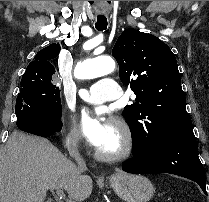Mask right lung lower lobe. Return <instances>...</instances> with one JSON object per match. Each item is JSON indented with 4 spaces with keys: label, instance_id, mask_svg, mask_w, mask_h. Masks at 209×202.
Wrapping results in <instances>:
<instances>
[{
    "label": "right lung lower lobe",
    "instance_id": "right-lung-lower-lobe-1",
    "mask_svg": "<svg viewBox=\"0 0 209 202\" xmlns=\"http://www.w3.org/2000/svg\"><path fill=\"white\" fill-rule=\"evenodd\" d=\"M60 117H51L36 112H25L17 116V127L25 132L38 136H50L60 131L62 122Z\"/></svg>",
    "mask_w": 209,
    "mask_h": 202
}]
</instances>
